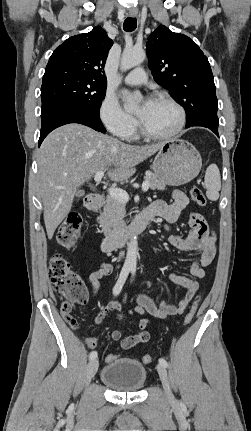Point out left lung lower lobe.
I'll return each instance as SVG.
<instances>
[{
  "instance_id": "0a47b994",
  "label": "left lung lower lobe",
  "mask_w": 251,
  "mask_h": 431,
  "mask_svg": "<svg viewBox=\"0 0 251 431\" xmlns=\"http://www.w3.org/2000/svg\"><path fill=\"white\" fill-rule=\"evenodd\" d=\"M218 124L219 123L199 122V123H195V124L190 125V126H186V128L191 127V126L206 127V128H209L210 130H212L219 137V135H218Z\"/></svg>"
}]
</instances>
